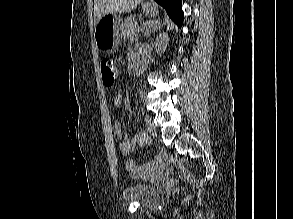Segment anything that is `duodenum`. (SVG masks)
Here are the masks:
<instances>
[{
	"label": "duodenum",
	"instance_id": "1",
	"mask_svg": "<svg viewBox=\"0 0 293 219\" xmlns=\"http://www.w3.org/2000/svg\"><path fill=\"white\" fill-rule=\"evenodd\" d=\"M144 70H145V63L142 60L138 59L134 64V69H133L134 74L139 75L143 73Z\"/></svg>",
	"mask_w": 293,
	"mask_h": 219
}]
</instances>
